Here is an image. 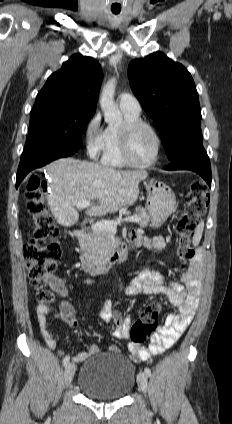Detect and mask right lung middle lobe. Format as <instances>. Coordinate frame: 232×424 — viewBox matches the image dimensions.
Wrapping results in <instances>:
<instances>
[{
    "instance_id": "right-lung-middle-lobe-1",
    "label": "right lung middle lobe",
    "mask_w": 232,
    "mask_h": 424,
    "mask_svg": "<svg viewBox=\"0 0 232 424\" xmlns=\"http://www.w3.org/2000/svg\"><path fill=\"white\" fill-rule=\"evenodd\" d=\"M95 112L73 106L32 109L30 127L22 158L44 147L80 149L82 131Z\"/></svg>"
}]
</instances>
